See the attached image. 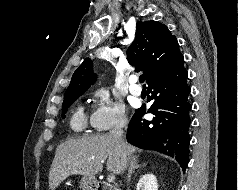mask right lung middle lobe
<instances>
[{
	"label": "right lung middle lobe",
	"mask_w": 238,
	"mask_h": 190,
	"mask_svg": "<svg viewBox=\"0 0 238 190\" xmlns=\"http://www.w3.org/2000/svg\"><path fill=\"white\" fill-rule=\"evenodd\" d=\"M82 94H72L64 97V102L62 106V111L66 112L67 109L72 105V103ZM62 117H65L64 114H62Z\"/></svg>",
	"instance_id": "obj_1"
}]
</instances>
